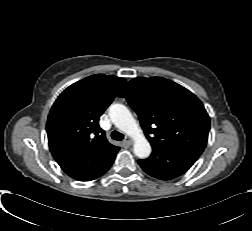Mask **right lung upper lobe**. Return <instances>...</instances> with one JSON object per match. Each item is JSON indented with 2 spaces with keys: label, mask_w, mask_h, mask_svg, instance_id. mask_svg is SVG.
I'll list each match as a JSON object with an SVG mask.
<instances>
[{
  "label": "right lung upper lobe",
  "mask_w": 252,
  "mask_h": 231,
  "mask_svg": "<svg viewBox=\"0 0 252 231\" xmlns=\"http://www.w3.org/2000/svg\"><path fill=\"white\" fill-rule=\"evenodd\" d=\"M126 80L96 74L65 89L53 104L47 120L50 151L62 170L79 181L104 174L119 147L110 144L98 125Z\"/></svg>",
  "instance_id": "1"
}]
</instances>
